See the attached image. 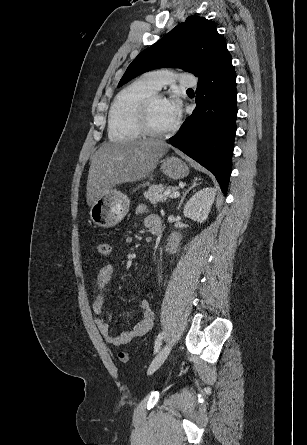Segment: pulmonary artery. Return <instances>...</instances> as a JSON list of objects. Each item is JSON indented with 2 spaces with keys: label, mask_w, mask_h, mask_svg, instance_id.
Wrapping results in <instances>:
<instances>
[{
  "label": "pulmonary artery",
  "mask_w": 307,
  "mask_h": 445,
  "mask_svg": "<svg viewBox=\"0 0 307 445\" xmlns=\"http://www.w3.org/2000/svg\"><path fill=\"white\" fill-rule=\"evenodd\" d=\"M176 78L172 69H150L144 73V78L148 80L149 85L157 90L164 83H173L176 81L179 90H194L197 87L193 75H185L184 70L179 69L176 72Z\"/></svg>",
  "instance_id": "e3ab8cb5"
}]
</instances>
